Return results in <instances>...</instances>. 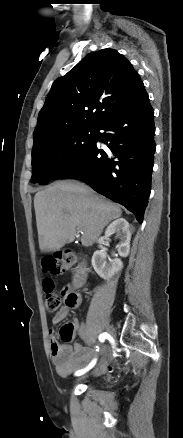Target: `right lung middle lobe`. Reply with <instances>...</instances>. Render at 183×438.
Listing matches in <instances>:
<instances>
[{"instance_id": "dd1d6c3e", "label": "right lung middle lobe", "mask_w": 183, "mask_h": 438, "mask_svg": "<svg viewBox=\"0 0 183 438\" xmlns=\"http://www.w3.org/2000/svg\"><path fill=\"white\" fill-rule=\"evenodd\" d=\"M98 127H77L58 131L34 140L32 151V180L45 184L75 157L87 148L96 137Z\"/></svg>"}]
</instances>
